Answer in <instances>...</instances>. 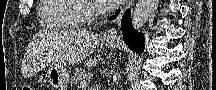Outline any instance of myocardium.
<instances>
[{"label":"myocardium","mask_w":216,"mask_h":90,"mask_svg":"<svg viewBox=\"0 0 216 90\" xmlns=\"http://www.w3.org/2000/svg\"><path fill=\"white\" fill-rule=\"evenodd\" d=\"M85 7L88 9V11L95 16H98L99 14L109 10L108 8H103L99 4H97L96 1H81Z\"/></svg>","instance_id":"obj_1"}]
</instances>
